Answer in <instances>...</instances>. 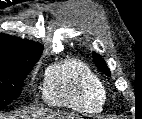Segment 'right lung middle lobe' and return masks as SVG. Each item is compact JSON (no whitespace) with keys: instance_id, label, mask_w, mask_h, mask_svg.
Masks as SVG:
<instances>
[{"instance_id":"obj_1","label":"right lung middle lobe","mask_w":142,"mask_h":119,"mask_svg":"<svg viewBox=\"0 0 142 119\" xmlns=\"http://www.w3.org/2000/svg\"><path fill=\"white\" fill-rule=\"evenodd\" d=\"M35 62L0 67V110L20 96L23 81Z\"/></svg>"}]
</instances>
